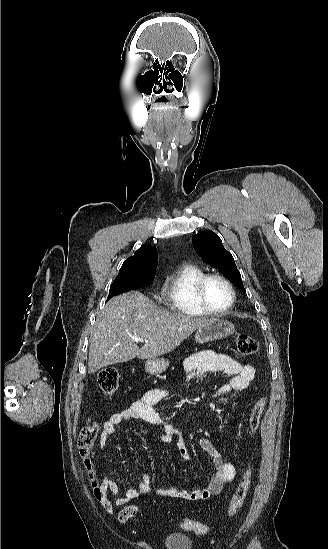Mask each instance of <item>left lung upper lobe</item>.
<instances>
[{
	"label": "left lung upper lobe",
	"instance_id": "obj_1",
	"mask_svg": "<svg viewBox=\"0 0 328 549\" xmlns=\"http://www.w3.org/2000/svg\"><path fill=\"white\" fill-rule=\"evenodd\" d=\"M192 243L196 253L203 261L219 269L242 292H245L234 258L224 248L221 239L216 233L211 230L200 232L193 236Z\"/></svg>",
	"mask_w": 328,
	"mask_h": 549
}]
</instances>
